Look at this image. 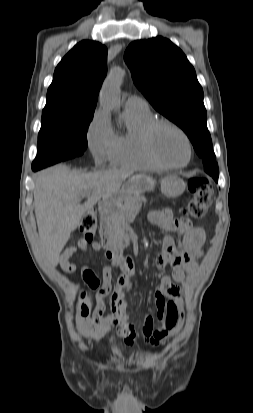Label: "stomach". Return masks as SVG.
<instances>
[{"mask_svg": "<svg viewBox=\"0 0 253 413\" xmlns=\"http://www.w3.org/2000/svg\"><path fill=\"white\" fill-rule=\"evenodd\" d=\"M154 187L155 181L150 176L137 174L132 176L116 194L105 198L103 202L108 206L115 207L124 202L127 197L151 191ZM185 188V182L176 175L167 176L160 182L161 192L170 198L180 196Z\"/></svg>", "mask_w": 253, "mask_h": 413, "instance_id": "0dacf381", "label": "stomach"}]
</instances>
